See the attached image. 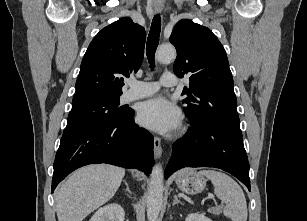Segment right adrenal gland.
<instances>
[{"label": "right adrenal gland", "instance_id": "obj_1", "mask_svg": "<svg viewBox=\"0 0 307 221\" xmlns=\"http://www.w3.org/2000/svg\"><path fill=\"white\" fill-rule=\"evenodd\" d=\"M124 183L126 185V191L131 194L128 183L126 181H124Z\"/></svg>", "mask_w": 307, "mask_h": 221}]
</instances>
